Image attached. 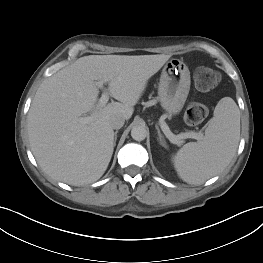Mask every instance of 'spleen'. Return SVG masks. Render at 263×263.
Instances as JSON below:
<instances>
[{"label":"spleen","instance_id":"spleen-1","mask_svg":"<svg viewBox=\"0 0 263 263\" xmlns=\"http://www.w3.org/2000/svg\"><path fill=\"white\" fill-rule=\"evenodd\" d=\"M240 138V112L230 97L215 107L202 141L185 144L173 157L179 177L200 184L222 171L235 155Z\"/></svg>","mask_w":263,"mask_h":263}]
</instances>
